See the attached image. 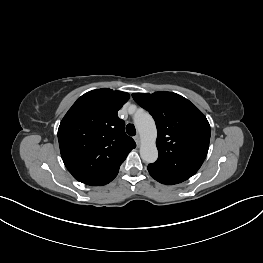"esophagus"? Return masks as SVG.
<instances>
[{"label": "esophagus", "mask_w": 263, "mask_h": 263, "mask_svg": "<svg viewBox=\"0 0 263 263\" xmlns=\"http://www.w3.org/2000/svg\"><path fill=\"white\" fill-rule=\"evenodd\" d=\"M134 140H135L136 144L139 146V145H140V136H139V135H136V136L134 137Z\"/></svg>", "instance_id": "obj_1"}]
</instances>
